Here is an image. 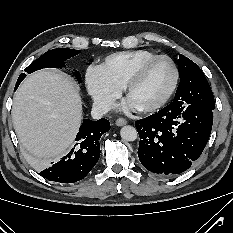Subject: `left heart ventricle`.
<instances>
[{"mask_svg": "<svg viewBox=\"0 0 233 233\" xmlns=\"http://www.w3.org/2000/svg\"><path fill=\"white\" fill-rule=\"evenodd\" d=\"M173 80L171 64L160 59L150 64L141 78L131 87L128 99L138 108L157 102L168 90Z\"/></svg>", "mask_w": 233, "mask_h": 233, "instance_id": "1", "label": "left heart ventricle"}]
</instances>
